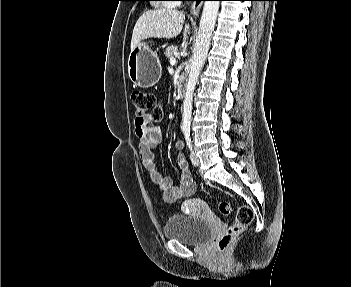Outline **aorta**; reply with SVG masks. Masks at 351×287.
I'll list each match as a JSON object with an SVG mask.
<instances>
[{
  "label": "aorta",
  "mask_w": 351,
  "mask_h": 287,
  "mask_svg": "<svg viewBox=\"0 0 351 287\" xmlns=\"http://www.w3.org/2000/svg\"><path fill=\"white\" fill-rule=\"evenodd\" d=\"M220 6V1H205L200 24L199 32L196 38L195 47L191 59V69L186 86V93L183 102V128L188 130L191 122L192 100L195 86L198 82L200 71L205 63L210 47V41L216 18Z\"/></svg>",
  "instance_id": "obj_1"
}]
</instances>
